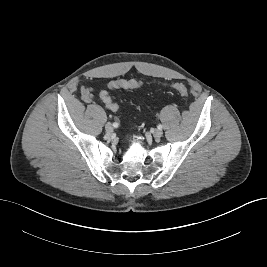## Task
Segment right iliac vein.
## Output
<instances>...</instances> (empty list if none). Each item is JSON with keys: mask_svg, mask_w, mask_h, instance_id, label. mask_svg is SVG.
<instances>
[{"mask_svg": "<svg viewBox=\"0 0 267 267\" xmlns=\"http://www.w3.org/2000/svg\"><path fill=\"white\" fill-rule=\"evenodd\" d=\"M105 130L106 132L111 133L113 131V125L111 123H107L105 125Z\"/></svg>", "mask_w": 267, "mask_h": 267, "instance_id": "right-iliac-vein-1", "label": "right iliac vein"}]
</instances>
